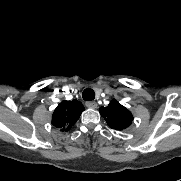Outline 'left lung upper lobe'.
I'll return each mask as SVG.
<instances>
[{"label":"left lung upper lobe","instance_id":"5c2ea615","mask_svg":"<svg viewBox=\"0 0 181 181\" xmlns=\"http://www.w3.org/2000/svg\"><path fill=\"white\" fill-rule=\"evenodd\" d=\"M99 112L115 130L126 129L133 121L132 113L115 99L111 100L107 107H101Z\"/></svg>","mask_w":181,"mask_h":181}]
</instances>
